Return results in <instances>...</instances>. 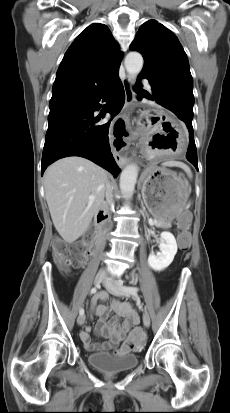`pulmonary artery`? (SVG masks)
I'll list each match as a JSON object with an SVG mask.
<instances>
[{"mask_svg":"<svg viewBox=\"0 0 230 413\" xmlns=\"http://www.w3.org/2000/svg\"><path fill=\"white\" fill-rule=\"evenodd\" d=\"M145 84L147 85V87H148V88H150V85H149V83H148V82H145Z\"/></svg>","mask_w":230,"mask_h":413,"instance_id":"obj_1","label":"pulmonary artery"}]
</instances>
